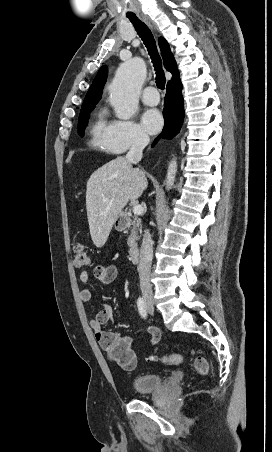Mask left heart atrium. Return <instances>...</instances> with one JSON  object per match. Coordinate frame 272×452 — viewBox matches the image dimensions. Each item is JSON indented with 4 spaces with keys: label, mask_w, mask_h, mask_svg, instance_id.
I'll return each mask as SVG.
<instances>
[{
    "label": "left heart atrium",
    "mask_w": 272,
    "mask_h": 452,
    "mask_svg": "<svg viewBox=\"0 0 272 452\" xmlns=\"http://www.w3.org/2000/svg\"><path fill=\"white\" fill-rule=\"evenodd\" d=\"M144 129L150 134H156L163 126V118L157 109L146 110L141 118Z\"/></svg>",
    "instance_id": "obj_1"
}]
</instances>
